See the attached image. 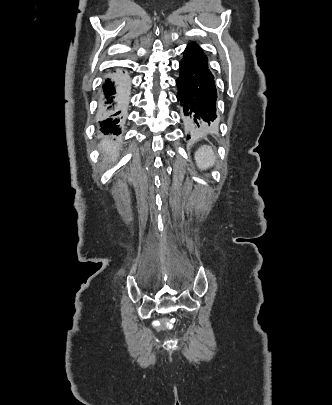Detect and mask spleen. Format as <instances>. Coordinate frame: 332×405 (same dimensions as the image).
<instances>
[{"mask_svg":"<svg viewBox=\"0 0 332 405\" xmlns=\"http://www.w3.org/2000/svg\"><path fill=\"white\" fill-rule=\"evenodd\" d=\"M216 159L215 150L211 146L203 145L195 152V161L201 170L212 167Z\"/></svg>","mask_w":332,"mask_h":405,"instance_id":"1","label":"spleen"}]
</instances>
